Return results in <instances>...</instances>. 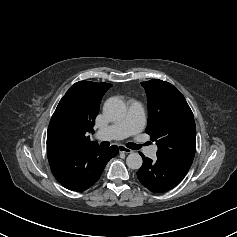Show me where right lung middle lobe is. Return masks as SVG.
Segmentation results:
<instances>
[{"instance_id": "right-lung-middle-lobe-1", "label": "right lung middle lobe", "mask_w": 237, "mask_h": 237, "mask_svg": "<svg viewBox=\"0 0 237 237\" xmlns=\"http://www.w3.org/2000/svg\"><path fill=\"white\" fill-rule=\"evenodd\" d=\"M63 141V131L59 127L48 128L47 144L62 145Z\"/></svg>"}]
</instances>
